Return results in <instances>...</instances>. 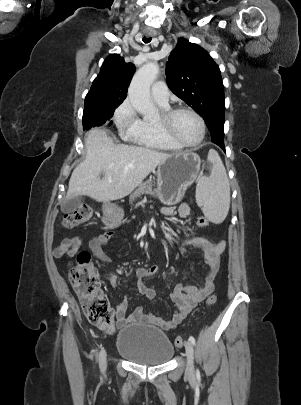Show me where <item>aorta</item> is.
<instances>
[{
	"instance_id": "obj_1",
	"label": "aorta",
	"mask_w": 301,
	"mask_h": 405,
	"mask_svg": "<svg viewBox=\"0 0 301 405\" xmlns=\"http://www.w3.org/2000/svg\"><path fill=\"white\" fill-rule=\"evenodd\" d=\"M159 74L157 63L148 62L133 76L128 89V96L137 112L149 115L154 112L150 98V87Z\"/></svg>"
}]
</instances>
